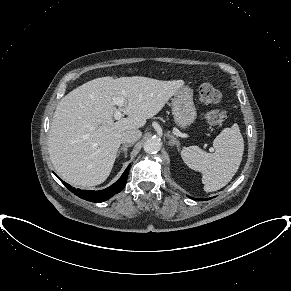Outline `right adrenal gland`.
Here are the masks:
<instances>
[{
  "mask_svg": "<svg viewBox=\"0 0 291 291\" xmlns=\"http://www.w3.org/2000/svg\"><path fill=\"white\" fill-rule=\"evenodd\" d=\"M131 146H132L131 144H125V145L121 146L120 149H119V151H118L117 156H119V154L121 153V151H123L124 156H125V158H126V157H127V149H128L129 147H131Z\"/></svg>",
  "mask_w": 291,
  "mask_h": 291,
  "instance_id": "2a0ac1e0",
  "label": "right adrenal gland"
}]
</instances>
